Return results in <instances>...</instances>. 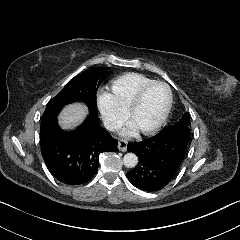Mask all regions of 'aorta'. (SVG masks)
Returning a JSON list of instances; mask_svg holds the SVG:
<instances>
[{
  "label": "aorta",
  "mask_w": 240,
  "mask_h": 240,
  "mask_svg": "<svg viewBox=\"0 0 240 240\" xmlns=\"http://www.w3.org/2000/svg\"><path fill=\"white\" fill-rule=\"evenodd\" d=\"M123 163L128 168H133L138 164V157L135 153H126L123 157Z\"/></svg>",
  "instance_id": "aorta-1"
}]
</instances>
